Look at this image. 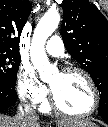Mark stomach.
<instances>
[{"instance_id": "0dacf381", "label": "stomach", "mask_w": 108, "mask_h": 127, "mask_svg": "<svg viewBox=\"0 0 108 127\" xmlns=\"http://www.w3.org/2000/svg\"><path fill=\"white\" fill-rule=\"evenodd\" d=\"M73 127H97V125L96 124H94V125H92V126H73Z\"/></svg>"}]
</instances>
